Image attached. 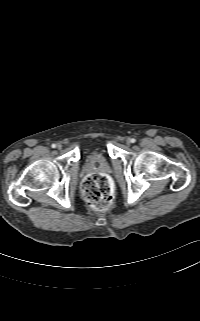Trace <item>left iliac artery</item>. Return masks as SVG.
Here are the masks:
<instances>
[{"mask_svg":"<svg viewBox=\"0 0 200 321\" xmlns=\"http://www.w3.org/2000/svg\"><path fill=\"white\" fill-rule=\"evenodd\" d=\"M131 142H132V143H135V142H136V139L132 138V139H131Z\"/></svg>","mask_w":200,"mask_h":321,"instance_id":"left-iliac-artery-1","label":"left iliac artery"}]
</instances>
